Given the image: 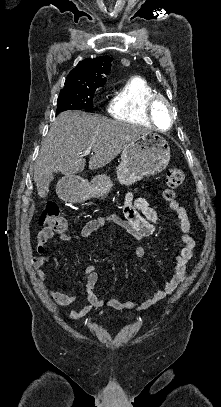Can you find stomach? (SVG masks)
I'll list each match as a JSON object with an SVG mask.
<instances>
[{
	"label": "stomach",
	"instance_id": "obj_1",
	"mask_svg": "<svg viewBox=\"0 0 221 407\" xmlns=\"http://www.w3.org/2000/svg\"><path fill=\"white\" fill-rule=\"evenodd\" d=\"M170 161V146L160 134L148 131L132 140L122 150L117 179L130 186L144 177L162 172ZM113 183L106 174L96 175L91 182L79 176H67L58 186L59 196L68 203H81L91 198H105Z\"/></svg>",
	"mask_w": 221,
	"mask_h": 407
}]
</instances>
